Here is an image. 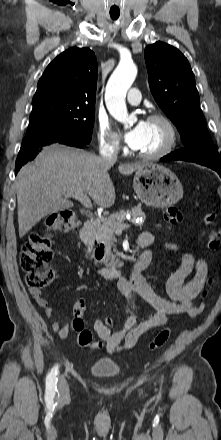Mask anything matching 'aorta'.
Wrapping results in <instances>:
<instances>
[{
	"label": "aorta",
	"mask_w": 221,
	"mask_h": 440,
	"mask_svg": "<svg viewBox=\"0 0 221 440\" xmlns=\"http://www.w3.org/2000/svg\"><path fill=\"white\" fill-rule=\"evenodd\" d=\"M137 75V68L130 62L120 63L108 80L105 90V103L109 113L117 121L127 123L129 115L125 103L128 89Z\"/></svg>",
	"instance_id": "aorta-1"
}]
</instances>
